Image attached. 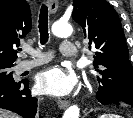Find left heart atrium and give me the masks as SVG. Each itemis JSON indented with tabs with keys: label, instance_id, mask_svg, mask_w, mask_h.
<instances>
[{
	"label": "left heart atrium",
	"instance_id": "1",
	"mask_svg": "<svg viewBox=\"0 0 133 118\" xmlns=\"http://www.w3.org/2000/svg\"><path fill=\"white\" fill-rule=\"evenodd\" d=\"M76 83V77L63 67H50L37 76V90L50 96H64L69 94Z\"/></svg>",
	"mask_w": 133,
	"mask_h": 118
}]
</instances>
